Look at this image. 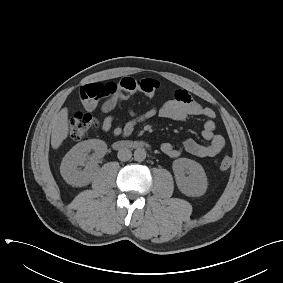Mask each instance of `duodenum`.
Masks as SVG:
<instances>
[{"mask_svg":"<svg viewBox=\"0 0 283 283\" xmlns=\"http://www.w3.org/2000/svg\"><path fill=\"white\" fill-rule=\"evenodd\" d=\"M144 146V143L141 141H132V140H120L116 141L113 144V148L115 150H122V149H135L141 148Z\"/></svg>","mask_w":283,"mask_h":283,"instance_id":"1","label":"duodenum"}]
</instances>
